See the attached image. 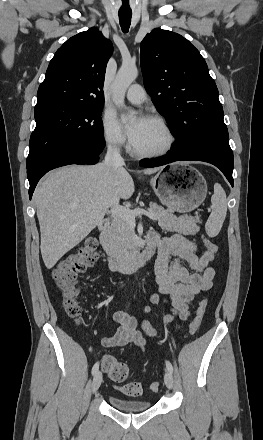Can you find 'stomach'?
Returning <instances> with one entry per match:
<instances>
[{
	"label": "stomach",
	"instance_id": "0dacf381",
	"mask_svg": "<svg viewBox=\"0 0 263 440\" xmlns=\"http://www.w3.org/2000/svg\"><path fill=\"white\" fill-rule=\"evenodd\" d=\"M150 184L161 203L179 213L196 209L207 195L205 178L191 166H173L153 177Z\"/></svg>",
	"mask_w": 263,
	"mask_h": 440
}]
</instances>
